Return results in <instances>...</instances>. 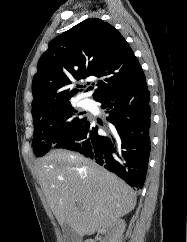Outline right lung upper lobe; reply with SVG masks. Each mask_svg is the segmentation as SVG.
<instances>
[{"label":"right lung upper lobe","instance_id":"cb5924a9","mask_svg":"<svg viewBox=\"0 0 187 242\" xmlns=\"http://www.w3.org/2000/svg\"><path fill=\"white\" fill-rule=\"evenodd\" d=\"M37 69L32 82L33 116L70 103L82 88L72 84L81 79L94 80L87 90L95 87L96 101L145 79L124 37L97 18L84 20L54 38L40 57Z\"/></svg>","mask_w":187,"mask_h":242}]
</instances>
